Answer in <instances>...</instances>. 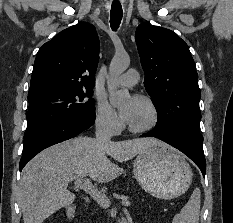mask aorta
<instances>
[{
  "mask_svg": "<svg viewBox=\"0 0 233 223\" xmlns=\"http://www.w3.org/2000/svg\"><path fill=\"white\" fill-rule=\"evenodd\" d=\"M130 64L129 56L125 58H113L109 66V74L107 78V90L109 92V102L111 106H120L122 102H127L130 98L128 90H119L116 80L127 70Z\"/></svg>",
  "mask_w": 233,
  "mask_h": 223,
  "instance_id": "1",
  "label": "aorta"
}]
</instances>
